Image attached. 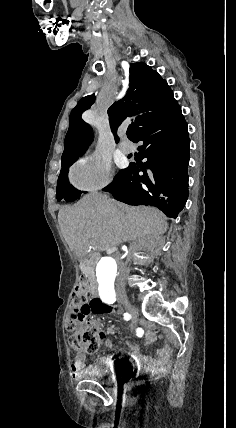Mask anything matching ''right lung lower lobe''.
Returning <instances> with one entry per match:
<instances>
[{
  "label": "right lung lower lobe",
  "mask_w": 236,
  "mask_h": 428,
  "mask_svg": "<svg viewBox=\"0 0 236 428\" xmlns=\"http://www.w3.org/2000/svg\"><path fill=\"white\" fill-rule=\"evenodd\" d=\"M130 140L143 141L139 153L148 161L144 166L130 164L120 170L103 190L126 204L156 206L166 216L177 218L188 198L190 146L181 107L177 105L169 113L151 120Z\"/></svg>",
  "instance_id": "1"
}]
</instances>
